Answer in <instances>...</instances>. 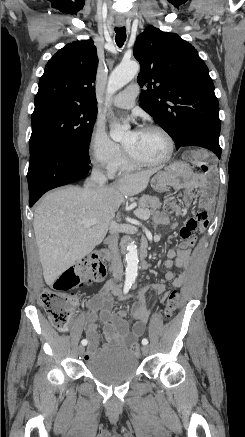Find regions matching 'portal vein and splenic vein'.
Returning <instances> with one entry per match:
<instances>
[{
	"label": "portal vein and splenic vein",
	"instance_id": "obj_1",
	"mask_svg": "<svg viewBox=\"0 0 245 437\" xmlns=\"http://www.w3.org/2000/svg\"><path fill=\"white\" fill-rule=\"evenodd\" d=\"M135 214L138 217L143 218V219L148 218L150 216V212L147 209L142 214H139V213H135ZM96 222H97L96 219H86V220L82 221V223H84L86 226H91V225L95 224Z\"/></svg>",
	"mask_w": 245,
	"mask_h": 437
}]
</instances>
